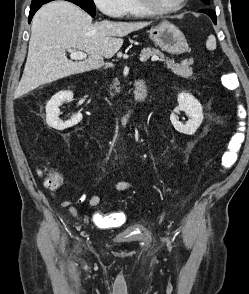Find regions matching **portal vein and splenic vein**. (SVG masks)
Wrapping results in <instances>:
<instances>
[{"mask_svg": "<svg viewBox=\"0 0 249 294\" xmlns=\"http://www.w3.org/2000/svg\"><path fill=\"white\" fill-rule=\"evenodd\" d=\"M69 52L71 53L70 58L74 59V60H83V59H86V57H87L86 53H84L82 51H79V50H69ZM145 57L146 56L141 57V61H144ZM151 60L152 61H158L159 57L158 56H153L151 58ZM106 65L112 66L111 63H106Z\"/></svg>", "mask_w": 249, "mask_h": 294, "instance_id": "1", "label": "portal vein and splenic vein"}]
</instances>
